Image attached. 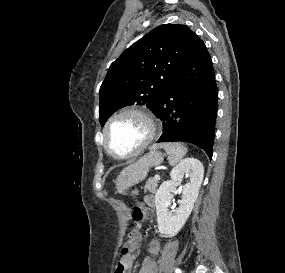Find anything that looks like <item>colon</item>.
I'll list each match as a JSON object with an SVG mask.
<instances>
[{"instance_id":"colon-1","label":"colon","mask_w":285,"mask_h":273,"mask_svg":"<svg viewBox=\"0 0 285 273\" xmlns=\"http://www.w3.org/2000/svg\"><path fill=\"white\" fill-rule=\"evenodd\" d=\"M134 195V192H132ZM132 201L137 207H132L131 219L138 228L142 227V221L145 218L143 211L146 210L145 203H140L139 196H132ZM142 239V234L139 230L132 231L123 245L121 250V257L117 261L114 273H130L133 262L139 255V247Z\"/></svg>"}]
</instances>
